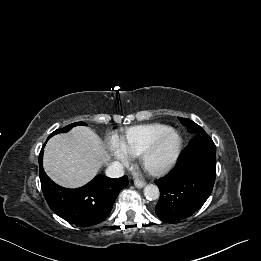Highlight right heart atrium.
I'll return each mask as SVG.
<instances>
[{
  "label": "right heart atrium",
  "instance_id": "right-heart-atrium-1",
  "mask_svg": "<svg viewBox=\"0 0 261 261\" xmlns=\"http://www.w3.org/2000/svg\"><path fill=\"white\" fill-rule=\"evenodd\" d=\"M110 151L112 155L120 160V161H126L127 160V154L123 151V149L119 146L118 142H112L110 144Z\"/></svg>",
  "mask_w": 261,
  "mask_h": 261
}]
</instances>
